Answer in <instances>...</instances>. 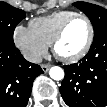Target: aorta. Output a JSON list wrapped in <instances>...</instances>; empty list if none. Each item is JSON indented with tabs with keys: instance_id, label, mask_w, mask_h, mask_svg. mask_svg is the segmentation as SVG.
Here are the masks:
<instances>
[{
	"instance_id": "obj_1",
	"label": "aorta",
	"mask_w": 107,
	"mask_h": 107,
	"mask_svg": "<svg viewBox=\"0 0 107 107\" xmlns=\"http://www.w3.org/2000/svg\"><path fill=\"white\" fill-rule=\"evenodd\" d=\"M49 75L53 80L59 81L64 78V70L61 67L54 66L50 68Z\"/></svg>"
}]
</instances>
